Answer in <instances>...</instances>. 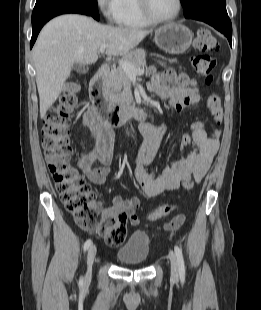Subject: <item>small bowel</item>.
<instances>
[{
    "label": "small bowel",
    "mask_w": 261,
    "mask_h": 310,
    "mask_svg": "<svg viewBox=\"0 0 261 310\" xmlns=\"http://www.w3.org/2000/svg\"><path fill=\"white\" fill-rule=\"evenodd\" d=\"M149 89L170 102L174 109L198 105L200 103L199 88L190 82L169 86L161 83V75L157 73L149 83ZM90 110V109H89ZM87 110L84 114V124L90 131L93 145L90 150L83 153L78 161V167L85 176L95 184H103L111 172L110 165L113 160L112 136L109 132H98L87 120ZM192 133L185 134L182 143L187 140L192 142L196 149L188 156L175 161L170 167H165L161 174L155 176L145 169V165L153 161L158 153L167 128L164 124L144 123L140 131L143 142L139 148L137 165L135 168L136 181L147 197H155L164 191L175 190L188 179L200 181L210 167L219 148L218 137H209L201 123L191 126ZM113 206L104 210L106 217L115 213H124L128 216L132 226H138L140 220L136 208L140 199L136 196L122 199L120 196L112 197Z\"/></svg>",
    "instance_id": "obj_1"
}]
</instances>
